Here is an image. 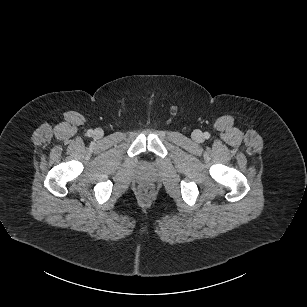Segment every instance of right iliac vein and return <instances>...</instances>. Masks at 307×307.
I'll return each mask as SVG.
<instances>
[{
    "instance_id": "1",
    "label": "right iliac vein",
    "mask_w": 307,
    "mask_h": 307,
    "mask_svg": "<svg viewBox=\"0 0 307 307\" xmlns=\"http://www.w3.org/2000/svg\"><path fill=\"white\" fill-rule=\"evenodd\" d=\"M102 136H103V131H102L101 129H96V130L94 131V137H95V138L99 139V138H101Z\"/></svg>"
}]
</instances>
